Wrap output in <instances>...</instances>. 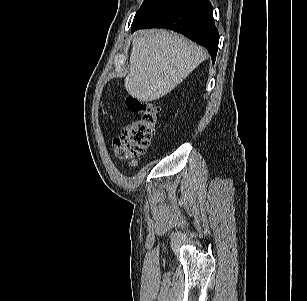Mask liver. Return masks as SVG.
Segmentation results:
<instances>
[{
	"label": "liver",
	"mask_w": 307,
	"mask_h": 301,
	"mask_svg": "<svg viewBox=\"0 0 307 301\" xmlns=\"http://www.w3.org/2000/svg\"><path fill=\"white\" fill-rule=\"evenodd\" d=\"M206 57L203 47L181 35L161 29L143 31L132 41L125 89L141 101L159 99L179 85Z\"/></svg>",
	"instance_id": "1"
}]
</instances>
